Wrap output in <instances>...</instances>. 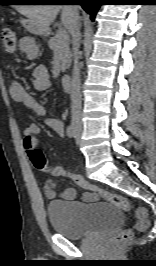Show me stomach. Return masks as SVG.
Returning a JSON list of instances; mask_svg holds the SVG:
<instances>
[{
    "mask_svg": "<svg viewBox=\"0 0 156 266\" xmlns=\"http://www.w3.org/2000/svg\"><path fill=\"white\" fill-rule=\"evenodd\" d=\"M21 23L32 34L41 35L46 32V29L36 25L29 19H23Z\"/></svg>",
    "mask_w": 156,
    "mask_h": 266,
    "instance_id": "1",
    "label": "stomach"
}]
</instances>
